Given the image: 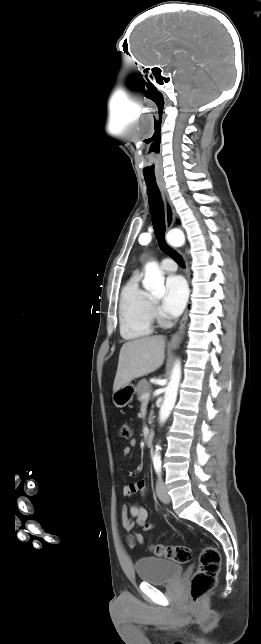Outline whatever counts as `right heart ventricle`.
Returning <instances> with one entry per match:
<instances>
[{
    "label": "right heart ventricle",
    "instance_id": "obj_1",
    "mask_svg": "<svg viewBox=\"0 0 261 644\" xmlns=\"http://www.w3.org/2000/svg\"><path fill=\"white\" fill-rule=\"evenodd\" d=\"M119 318L120 333L125 339H139L153 332L152 299L148 292L141 288L137 275L132 276L122 288Z\"/></svg>",
    "mask_w": 261,
    "mask_h": 644
}]
</instances>
